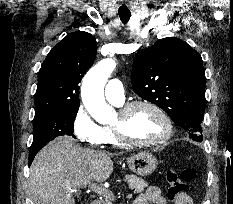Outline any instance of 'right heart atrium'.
Returning <instances> with one entry per match:
<instances>
[{"label":"right heart atrium","mask_w":233,"mask_h":204,"mask_svg":"<svg viewBox=\"0 0 233 204\" xmlns=\"http://www.w3.org/2000/svg\"><path fill=\"white\" fill-rule=\"evenodd\" d=\"M72 131L80 142L88 146L95 147L104 143L102 127L93 120L83 105H80L75 111Z\"/></svg>","instance_id":"d8ad5b80"}]
</instances>
